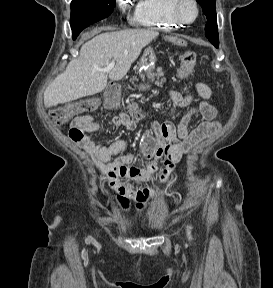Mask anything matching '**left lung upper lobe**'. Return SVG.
<instances>
[{
  "instance_id": "left-lung-upper-lobe-1",
  "label": "left lung upper lobe",
  "mask_w": 273,
  "mask_h": 288,
  "mask_svg": "<svg viewBox=\"0 0 273 288\" xmlns=\"http://www.w3.org/2000/svg\"><path fill=\"white\" fill-rule=\"evenodd\" d=\"M201 5L204 14L208 20L205 33L209 41L214 45H219L218 29L216 21L215 0H197Z\"/></svg>"
}]
</instances>
